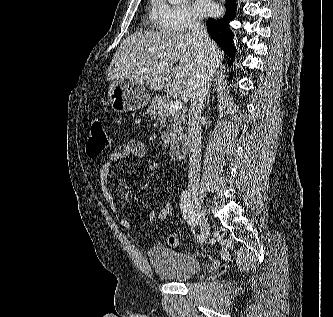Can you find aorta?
Here are the masks:
<instances>
[{"label": "aorta", "instance_id": "1", "mask_svg": "<svg viewBox=\"0 0 333 317\" xmlns=\"http://www.w3.org/2000/svg\"><path fill=\"white\" fill-rule=\"evenodd\" d=\"M184 0H168V2L172 5L181 4Z\"/></svg>", "mask_w": 333, "mask_h": 317}]
</instances>
